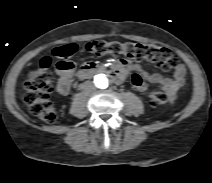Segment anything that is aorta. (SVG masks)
Returning <instances> with one entry per match:
<instances>
[{"label": "aorta", "instance_id": "1", "mask_svg": "<svg viewBox=\"0 0 212 183\" xmlns=\"http://www.w3.org/2000/svg\"><path fill=\"white\" fill-rule=\"evenodd\" d=\"M93 85L99 90H104L109 85V78L105 72L97 73L93 78Z\"/></svg>", "mask_w": 212, "mask_h": 183}]
</instances>
